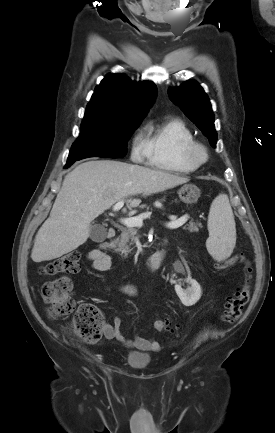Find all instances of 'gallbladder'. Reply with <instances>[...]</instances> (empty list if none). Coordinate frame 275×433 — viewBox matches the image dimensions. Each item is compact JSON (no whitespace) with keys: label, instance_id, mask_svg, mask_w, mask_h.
I'll return each mask as SVG.
<instances>
[{"label":"gallbladder","instance_id":"obj_1","mask_svg":"<svg viewBox=\"0 0 275 433\" xmlns=\"http://www.w3.org/2000/svg\"><path fill=\"white\" fill-rule=\"evenodd\" d=\"M105 233V228L99 224H94L90 228V237L95 241L103 239Z\"/></svg>","mask_w":275,"mask_h":433}]
</instances>
